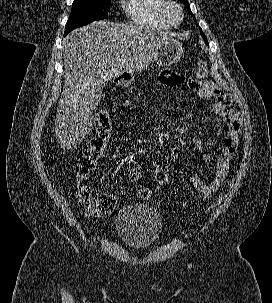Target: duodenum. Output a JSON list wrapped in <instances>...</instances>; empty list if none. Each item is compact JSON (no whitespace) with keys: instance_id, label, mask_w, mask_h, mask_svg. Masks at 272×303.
I'll list each match as a JSON object with an SVG mask.
<instances>
[{"instance_id":"410a0bca","label":"duodenum","mask_w":272,"mask_h":303,"mask_svg":"<svg viewBox=\"0 0 272 303\" xmlns=\"http://www.w3.org/2000/svg\"><path fill=\"white\" fill-rule=\"evenodd\" d=\"M129 77L125 74H122L116 78V83L119 85H124L128 81Z\"/></svg>"}]
</instances>
